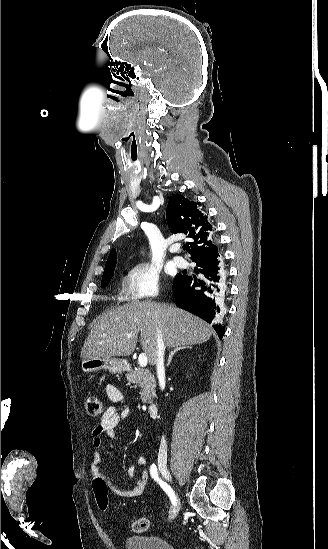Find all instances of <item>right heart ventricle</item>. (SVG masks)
I'll return each mask as SVG.
<instances>
[{
  "label": "right heart ventricle",
  "instance_id": "1",
  "mask_svg": "<svg viewBox=\"0 0 328 549\" xmlns=\"http://www.w3.org/2000/svg\"><path fill=\"white\" fill-rule=\"evenodd\" d=\"M115 303H124V297L122 295L121 290L117 292V294L114 297Z\"/></svg>",
  "mask_w": 328,
  "mask_h": 549
}]
</instances>
